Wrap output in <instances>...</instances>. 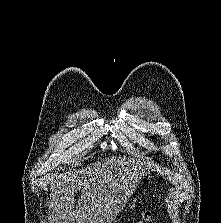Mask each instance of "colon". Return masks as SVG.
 Here are the masks:
<instances>
[{"mask_svg": "<svg viewBox=\"0 0 221 223\" xmlns=\"http://www.w3.org/2000/svg\"><path fill=\"white\" fill-rule=\"evenodd\" d=\"M137 223H153V216L150 212H146L144 215H143V218L142 220H140L139 222Z\"/></svg>", "mask_w": 221, "mask_h": 223, "instance_id": "obj_1", "label": "colon"}]
</instances>
